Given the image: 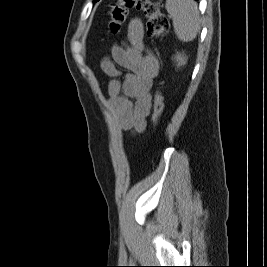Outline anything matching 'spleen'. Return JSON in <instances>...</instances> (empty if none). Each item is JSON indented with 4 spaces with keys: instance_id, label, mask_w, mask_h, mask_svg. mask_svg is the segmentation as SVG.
<instances>
[{
    "instance_id": "spleen-1",
    "label": "spleen",
    "mask_w": 267,
    "mask_h": 267,
    "mask_svg": "<svg viewBox=\"0 0 267 267\" xmlns=\"http://www.w3.org/2000/svg\"><path fill=\"white\" fill-rule=\"evenodd\" d=\"M165 8L172 17L176 36L180 41L195 39L200 29V14L194 0H166Z\"/></svg>"
}]
</instances>
